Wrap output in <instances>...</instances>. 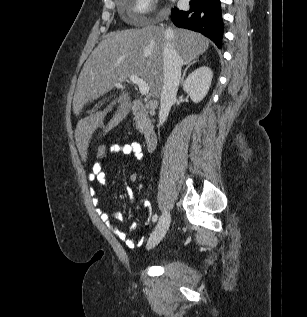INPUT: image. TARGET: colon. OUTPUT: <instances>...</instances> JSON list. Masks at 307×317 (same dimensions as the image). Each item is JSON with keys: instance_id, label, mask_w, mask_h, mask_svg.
Masks as SVG:
<instances>
[{"instance_id": "1", "label": "colon", "mask_w": 307, "mask_h": 317, "mask_svg": "<svg viewBox=\"0 0 307 317\" xmlns=\"http://www.w3.org/2000/svg\"><path fill=\"white\" fill-rule=\"evenodd\" d=\"M111 146H105V145H100L96 149V159L97 162L102 163L108 156L109 153H111Z\"/></svg>"}]
</instances>
